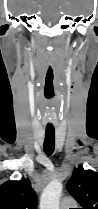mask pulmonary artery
Segmentation results:
<instances>
[{"mask_svg":"<svg viewBox=\"0 0 98 209\" xmlns=\"http://www.w3.org/2000/svg\"><path fill=\"white\" fill-rule=\"evenodd\" d=\"M74 205V199L66 197L61 200L60 209H71Z\"/></svg>","mask_w":98,"mask_h":209,"instance_id":"pulmonary-artery-1","label":"pulmonary artery"}]
</instances>
